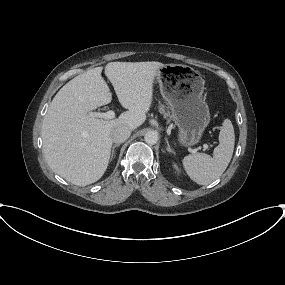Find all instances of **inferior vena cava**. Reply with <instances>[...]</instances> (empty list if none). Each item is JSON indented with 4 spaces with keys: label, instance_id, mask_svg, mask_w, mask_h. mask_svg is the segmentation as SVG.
Returning <instances> with one entry per match:
<instances>
[{
    "label": "inferior vena cava",
    "instance_id": "inferior-vena-cava-1",
    "mask_svg": "<svg viewBox=\"0 0 285 285\" xmlns=\"http://www.w3.org/2000/svg\"><path fill=\"white\" fill-rule=\"evenodd\" d=\"M131 134V130L126 126H117L111 130L110 136L113 142L123 143Z\"/></svg>",
    "mask_w": 285,
    "mask_h": 285
}]
</instances>
